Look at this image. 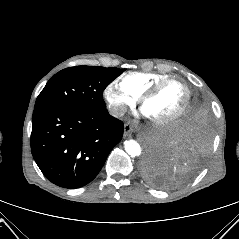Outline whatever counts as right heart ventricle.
<instances>
[{
    "instance_id": "e07e8e85",
    "label": "right heart ventricle",
    "mask_w": 239,
    "mask_h": 239,
    "mask_svg": "<svg viewBox=\"0 0 239 239\" xmlns=\"http://www.w3.org/2000/svg\"><path fill=\"white\" fill-rule=\"evenodd\" d=\"M167 77L169 75L156 72H131L121 76L119 84L126 91L140 97L150 86Z\"/></svg>"
}]
</instances>
